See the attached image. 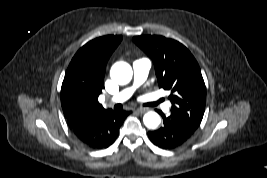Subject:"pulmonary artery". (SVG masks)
I'll return each mask as SVG.
<instances>
[{"label":"pulmonary artery","mask_w":267,"mask_h":178,"mask_svg":"<svg viewBox=\"0 0 267 178\" xmlns=\"http://www.w3.org/2000/svg\"><path fill=\"white\" fill-rule=\"evenodd\" d=\"M151 63L148 59H139L133 63L134 84L133 86L126 88L116 95L109 98L106 103H122L131 97L135 88L143 83L148 76Z\"/></svg>","instance_id":"pulmonary-artery-1"}]
</instances>
